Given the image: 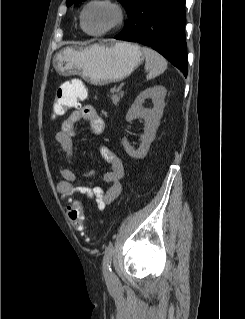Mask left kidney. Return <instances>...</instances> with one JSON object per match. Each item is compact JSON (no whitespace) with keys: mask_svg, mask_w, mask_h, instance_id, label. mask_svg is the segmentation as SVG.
I'll list each match as a JSON object with an SVG mask.
<instances>
[{"mask_svg":"<svg viewBox=\"0 0 245 319\" xmlns=\"http://www.w3.org/2000/svg\"><path fill=\"white\" fill-rule=\"evenodd\" d=\"M165 96L166 88L161 85L147 88L136 97L134 103L129 109L126 115L127 122H132L136 118H142L146 122L144 134L141 136V144L137 150L130 145L126 138L123 139L122 144L124 149L132 158L140 159L146 156L151 142L155 138L156 131L160 123V119L165 107ZM147 98H152V102L154 104L152 109H146L143 107V103Z\"/></svg>","mask_w":245,"mask_h":319,"instance_id":"obj_1","label":"left kidney"}]
</instances>
